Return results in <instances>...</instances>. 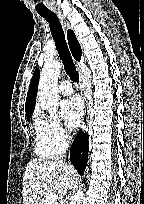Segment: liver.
Here are the masks:
<instances>
[{
    "instance_id": "liver-1",
    "label": "liver",
    "mask_w": 144,
    "mask_h": 204,
    "mask_svg": "<svg viewBox=\"0 0 144 204\" xmlns=\"http://www.w3.org/2000/svg\"><path fill=\"white\" fill-rule=\"evenodd\" d=\"M76 178L77 171L70 163L32 159L23 176V204H38L40 196L46 192L66 194L74 186Z\"/></svg>"
}]
</instances>
